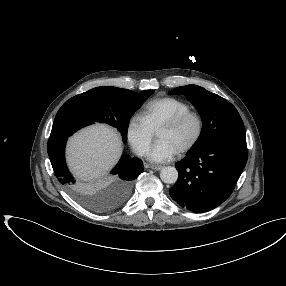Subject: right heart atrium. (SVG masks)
<instances>
[{
    "label": "right heart atrium",
    "instance_id": "1",
    "mask_svg": "<svg viewBox=\"0 0 286 286\" xmlns=\"http://www.w3.org/2000/svg\"><path fill=\"white\" fill-rule=\"evenodd\" d=\"M126 137L133 149L139 156H145L154 138V131L142 115H134L130 118L126 127Z\"/></svg>",
    "mask_w": 286,
    "mask_h": 286
}]
</instances>
